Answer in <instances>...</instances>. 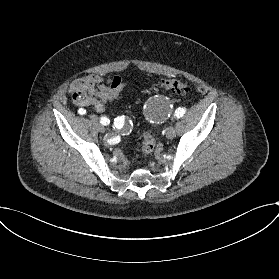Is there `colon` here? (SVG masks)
<instances>
[{
  "instance_id": "1",
  "label": "colon",
  "mask_w": 279,
  "mask_h": 279,
  "mask_svg": "<svg viewBox=\"0 0 279 279\" xmlns=\"http://www.w3.org/2000/svg\"><path fill=\"white\" fill-rule=\"evenodd\" d=\"M160 87L163 91L171 94H183L191 90L188 81L178 78H171L163 80L160 83ZM155 150V138L146 133L143 143V153L145 155H150Z\"/></svg>"
}]
</instances>
